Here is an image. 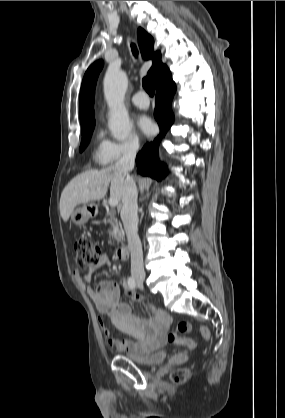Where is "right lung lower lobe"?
Listing matches in <instances>:
<instances>
[{
  "label": "right lung lower lobe",
  "instance_id": "right-lung-lower-lobe-1",
  "mask_svg": "<svg viewBox=\"0 0 285 418\" xmlns=\"http://www.w3.org/2000/svg\"><path fill=\"white\" fill-rule=\"evenodd\" d=\"M175 91L176 85L172 77L157 88L154 116L160 127V134L154 141L147 143L137 154V170L143 176H151L161 180L167 174L165 165L158 160V145L173 123L174 115L171 110V102Z\"/></svg>",
  "mask_w": 285,
  "mask_h": 418
}]
</instances>
